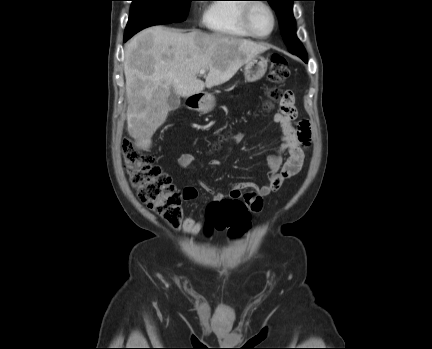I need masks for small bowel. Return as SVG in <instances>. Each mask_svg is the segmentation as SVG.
Returning a JSON list of instances; mask_svg holds the SVG:
<instances>
[{
	"label": "small bowel",
	"mask_w": 432,
	"mask_h": 349,
	"mask_svg": "<svg viewBox=\"0 0 432 349\" xmlns=\"http://www.w3.org/2000/svg\"><path fill=\"white\" fill-rule=\"evenodd\" d=\"M297 117V111L292 103V95L289 100L282 101L281 110L273 115V122L280 127L281 144L275 154L267 158V182L259 186L253 182H243L233 185L228 195L217 193L209 186L203 184L205 192L213 195L214 202H220L225 198L244 201L252 213L261 211L263 198L277 191L283 182L297 175L303 166L305 150L311 143V129L307 120H300L294 124L293 120ZM243 134H238L233 138V143L238 144L243 140ZM288 154L286 160L283 155ZM194 161L191 154H182L177 160L180 168H187ZM218 159L210 161L211 166L219 165ZM244 190H249L244 192ZM198 196L197 188L186 187L183 191L185 201H192ZM182 231L190 236H196L202 227L200 220L194 217H186L182 222Z\"/></svg>",
	"instance_id": "obj_1"
}]
</instances>
